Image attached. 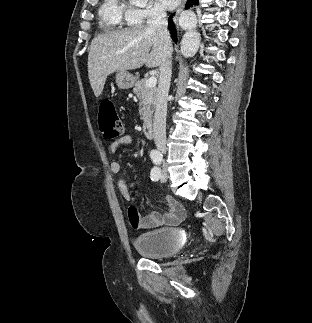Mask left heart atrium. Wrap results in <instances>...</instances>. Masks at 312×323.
<instances>
[{
	"mask_svg": "<svg viewBox=\"0 0 312 323\" xmlns=\"http://www.w3.org/2000/svg\"><path fill=\"white\" fill-rule=\"evenodd\" d=\"M161 8H165L166 12H173L174 8H179L184 0H160Z\"/></svg>",
	"mask_w": 312,
	"mask_h": 323,
	"instance_id": "1",
	"label": "left heart atrium"
}]
</instances>
